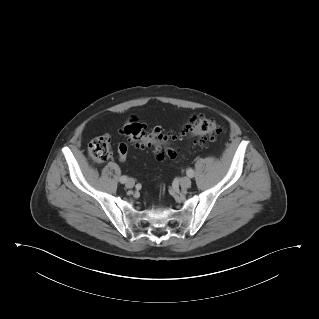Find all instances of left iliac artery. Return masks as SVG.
Masks as SVG:
<instances>
[{
  "instance_id": "left-iliac-artery-1",
  "label": "left iliac artery",
  "mask_w": 319,
  "mask_h": 319,
  "mask_svg": "<svg viewBox=\"0 0 319 319\" xmlns=\"http://www.w3.org/2000/svg\"><path fill=\"white\" fill-rule=\"evenodd\" d=\"M186 174H187L188 177L192 178L194 176V171L192 169H188L186 171Z\"/></svg>"
}]
</instances>
